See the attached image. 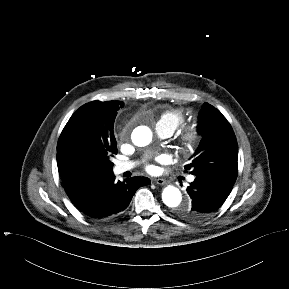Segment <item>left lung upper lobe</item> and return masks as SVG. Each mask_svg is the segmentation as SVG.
I'll use <instances>...</instances> for the list:
<instances>
[{"label":"left lung upper lobe","instance_id":"left-lung-upper-lobe-1","mask_svg":"<svg viewBox=\"0 0 289 289\" xmlns=\"http://www.w3.org/2000/svg\"><path fill=\"white\" fill-rule=\"evenodd\" d=\"M198 132L202 136L193 161L185 166L193 175L212 176L235 182L238 146L226 118L212 105L204 103L199 113Z\"/></svg>","mask_w":289,"mask_h":289}]
</instances>
